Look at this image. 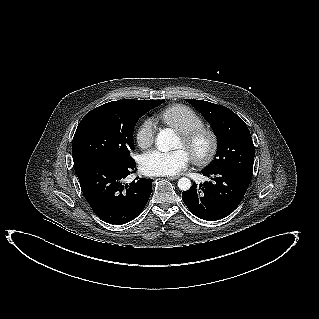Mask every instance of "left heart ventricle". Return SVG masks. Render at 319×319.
I'll return each instance as SVG.
<instances>
[{
    "label": "left heart ventricle",
    "mask_w": 319,
    "mask_h": 319,
    "mask_svg": "<svg viewBox=\"0 0 319 319\" xmlns=\"http://www.w3.org/2000/svg\"><path fill=\"white\" fill-rule=\"evenodd\" d=\"M206 140L204 139V138H201V139H199L197 142H196V144H195V146H194V148H195V150L198 152V153H201V152H203L205 149H206ZM179 146H183V141H182V139L180 138L179 139V144H178Z\"/></svg>",
    "instance_id": "left-heart-ventricle-1"
}]
</instances>
